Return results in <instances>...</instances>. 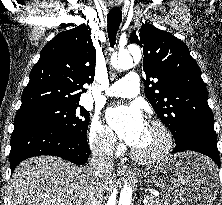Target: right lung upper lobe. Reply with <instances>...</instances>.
I'll return each instance as SVG.
<instances>
[{
	"instance_id": "1",
	"label": "right lung upper lobe",
	"mask_w": 222,
	"mask_h": 205,
	"mask_svg": "<svg viewBox=\"0 0 222 205\" xmlns=\"http://www.w3.org/2000/svg\"><path fill=\"white\" fill-rule=\"evenodd\" d=\"M88 25L57 34L30 72L18 112L50 103H75L95 75L96 50Z\"/></svg>"
}]
</instances>
